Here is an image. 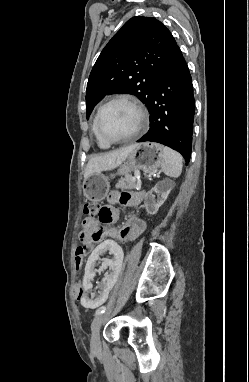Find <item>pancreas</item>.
<instances>
[{
  "instance_id": "obj_1",
  "label": "pancreas",
  "mask_w": 249,
  "mask_h": 382,
  "mask_svg": "<svg viewBox=\"0 0 249 382\" xmlns=\"http://www.w3.org/2000/svg\"><path fill=\"white\" fill-rule=\"evenodd\" d=\"M133 176L128 174L124 178H121L116 184L118 189H136L137 182L132 180Z\"/></svg>"
}]
</instances>
